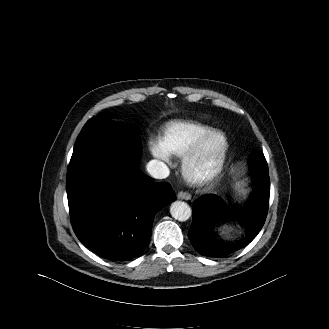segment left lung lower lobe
I'll list each match as a JSON object with an SVG mask.
<instances>
[{
	"label": "left lung lower lobe",
	"instance_id": "0a47b994",
	"mask_svg": "<svg viewBox=\"0 0 329 329\" xmlns=\"http://www.w3.org/2000/svg\"><path fill=\"white\" fill-rule=\"evenodd\" d=\"M252 175L255 192L243 209L242 218L232 212L214 194H206L194 201L192 225L188 231L195 250L203 256L224 257L248 245L264 225L270 195V180L267 162L253 163ZM237 219L245 229V234L234 243L223 241L216 228L229 220Z\"/></svg>",
	"mask_w": 329,
	"mask_h": 329
}]
</instances>
